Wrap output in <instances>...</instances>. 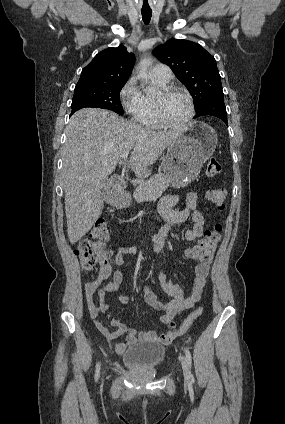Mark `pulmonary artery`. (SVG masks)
Masks as SVG:
<instances>
[{
	"label": "pulmonary artery",
	"instance_id": "1",
	"mask_svg": "<svg viewBox=\"0 0 285 424\" xmlns=\"http://www.w3.org/2000/svg\"><path fill=\"white\" fill-rule=\"evenodd\" d=\"M152 74L155 80L163 85H166L172 79L171 69L164 64L155 65L152 69Z\"/></svg>",
	"mask_w": 285,
	"mask_h": 424
}]
</instances>
